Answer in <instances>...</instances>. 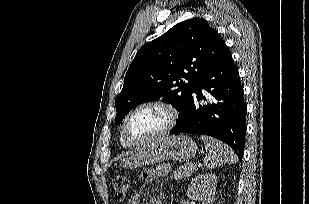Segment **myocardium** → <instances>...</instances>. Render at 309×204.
Returning <instances> with one entry per match:
<instances>
[{
	"instance_id": "myocardium-1",
	"label": "myocardium",
	"mask_w": 309,
	"mask_h": 204,
	"mask_svg": "<svg viewBox=\"0 0 309 204\" xmlns=\"http://www.w3.org/2000/svg\"><path fill=\"white\" fill-rule=\"evenodd\" d=\"M149 107H155V108H159L162 109L166 115H167V122L165 124V126L157 133H155L154 135L147 137L145 139L142 140H137L134 141L132 139H130L126 133V127H127V123L130 119V117L135 114L136 112L144 109V108H149ZM178 121V112L177 110L170 105L167 102L164 101H157V100H153V101H146L143 102L139 105H137L136 107H134L132 110H130L128 112V114L125 116L123 122H122V126H121V137L124 140V142L127 145L130 146H141V145H145L147 143H150L156 139H159L165 135H167L169 132H171L173 130V128L176 126V123Z\"/></svg>"
}]
</instances>
